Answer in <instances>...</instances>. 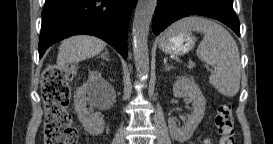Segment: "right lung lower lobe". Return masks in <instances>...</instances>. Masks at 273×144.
<instances>
[{
	"mask_svg": "<svg viewBox=\"0 0 273 144\" xmlns=\"http://www.w3.org/2000/svg\"><path fill=\"white\" fill-rule=\"evenodd\" d=\"M137 0H46L39 56L53 43L77 34L97 36L127 58V30Z\"/></svg>",
	"mask_w": 273,
	"mask_h": 144,
	"instance_id": "right-lung-lower-lobe-1",
	"label": "right lung lower lobe"
}]
</instances>
